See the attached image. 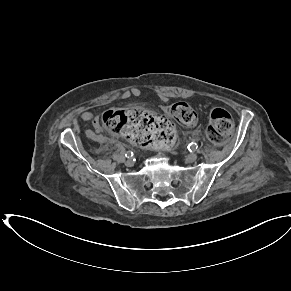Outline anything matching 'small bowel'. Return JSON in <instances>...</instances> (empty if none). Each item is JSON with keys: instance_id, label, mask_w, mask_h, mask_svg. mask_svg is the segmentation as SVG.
Listing matches in <instances>:
<instances>
[{"instance_id": "small-bowel-1", "label": "small bowel", "mask_w": 291, "mask_h": 291, "mask_svg": "<svg viewBox=\"0 0 291 291\" xmlns=\"http://www.w3.org/2000/svg\"><path fill=\"white\" fill-rule=\"evenodd\" d=\"M130 93L132 95H136L135 91H133V90L130 91ZM81 119L83 121L93 123L94 130L89 129L86 131V136L89 139H91L92 141L97 142L99 144H102V145L108 144L112 141L109 137L105 136L104 134H102L100 132L101 131L100 125H99L97 119L94 117V115L91 112H89V111L82 112Z\"/></svg>"}]
</instances>
